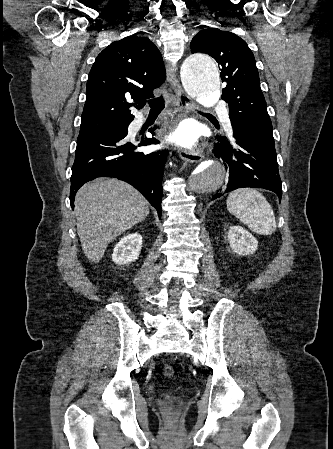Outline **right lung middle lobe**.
I'll return each instance as SVG.
<instances>
[{
    "mask_svg": "<svg viewBox=\"0 0 333 449\" xmlns=\"http://www.w3.org/2000/svg\"><path fill=\"white\" fill-rule=\"evenodd\" d=\"M128 123H116V124H109V125H102V126H96L91 128H85L80 129V134H89V133H97L102 131H109V130H122L127 127Z\"/></svg>",
    "mask_w": 333,
    "mask_h": 449,
    "instance_id": "dd1d6c3e",
    "label": "right lung middle lobe"
}]
</instances>
